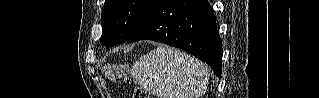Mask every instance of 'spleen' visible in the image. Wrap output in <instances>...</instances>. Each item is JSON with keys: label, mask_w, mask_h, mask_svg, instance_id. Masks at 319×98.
I'll return each instance as SVG.
<instances>
[{"label": "spleen", "mask_w": 319, "mask_h": 98, "mask_svg": "<svg viewBox=\"0 0 319 98\" xmlns=\"http://www.w3.org/2000/svg\"><path fill=\"white\" fill-rule=\"evenodd\" d=\"M131 74L135 83L160 98H198L208 84L207 67L171 47H158L141 56Z\"/></svg>", "instance_id": "obj_1"}]
</instances>
